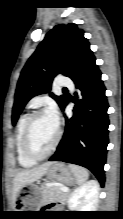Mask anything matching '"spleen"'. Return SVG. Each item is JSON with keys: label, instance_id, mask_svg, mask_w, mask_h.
Returning a JSON list of instances; mask_svg holds the SVG:
<instances>
[{"label": "spleen", "instance_id": "obj_1", "mask_svg": "<svg viewBox=\"0 0 123 219\" xmlns=\"http://www.w3.org/2000/svg\"><path fill=\"white\" fill-rule=\"evenodd\" d=\"M69 168L75 175L78 184H83L88 179L89 173L85 168L73 164H70Z\"/></svg>", "mask_w": 123, "mask_h": 219}]
</instances>
